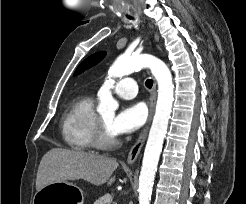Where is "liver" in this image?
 Wrapping results in <instances>:
<instances>
[{
    "instance_id": "obj_1",
    "label": "liver",
    "mask_w": 246,
    "mask_h": 204,
    "mask_svg": "<svg viewBox=\"0 0 246 204\" xmlns=\"http://www.w3.org/2000/svg\"><path fill=\"white\" fill-rule=\"evenodd\" d=\"M116 159L78 150L53 148L41 159L37 177L36 190L60 181L83 179L93 185L107 183L112 185L111 177L118 167Z\"/></svg>"
}]
</instances>
